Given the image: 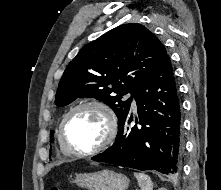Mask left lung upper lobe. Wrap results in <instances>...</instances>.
<instances>
[{
    "mask_svg": "<svg viewBox=\"0 0 221 190\" xmlns=\"http://www.w3.org/2000/svg\"><path fill=\"white\" fill-rule=\"evenodd\" d=\"M167 51L141 24L120 25L85 45L64 71L55 104L66 106L79 97H93L113 109L119 122L129 112L137 90L158 68ZM53 138V131L50 133Z\"/></svg>",
    "mask_w": 221,
    "mask_h": 190,
    "instance_id": "obj_1",
    "label": "left lung upper lobe"
}]
</instances>
